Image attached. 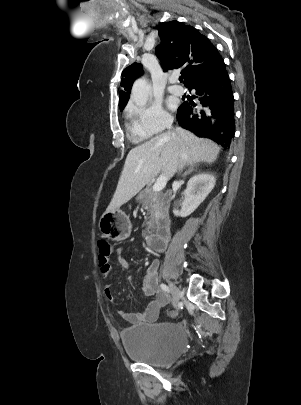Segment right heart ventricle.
<instances>
[{"instance_id":"obj_1","label":"right heart ventricle","mask_w":301,"mask_h":405,"mask_svg":"<svg viewBox=\"0 0 301 405\" xmlns=\"http://www.w3.org/2000/svg\"><path fill=\"white\" fill-rule=\"evenodd\" d=\"M126 117H127V129L128 132L130 134V137L133 140H137V141H142L144 139H146L148 137V135L144 134L142 131H140V129L138 128V126L136 125V123L133 120V116L130 110L127 111L126 113Z\"/></svg>"}]
</instances>
